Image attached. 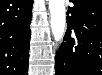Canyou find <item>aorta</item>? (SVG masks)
<instances>
[{"label": "aorta", "mask_w": 102, "mask_h": 75, "mask_svg": "<svg viewBox=\"0 0 102 75\" xmlns=\"http://www.w3.org/2000/svg\"><path fill=\"white\" fill-rule=\"evenodd\" d=\"M51 30L56 41H60L65 32L64 0H49Z\"/></svg>", "instance_id": "aorta-1"}]
</instances>
